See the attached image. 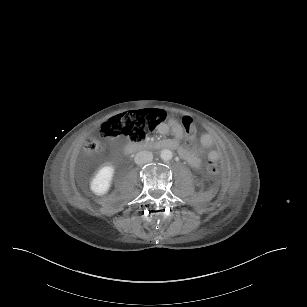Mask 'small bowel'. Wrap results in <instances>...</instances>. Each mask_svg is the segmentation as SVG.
<instances>
[{"mask_svg":"<svg viewBox=\"0 0 307 307\" xmlns=\"http://www.w3.org/2000/svg\"><path fill=\"white\" fill-rule=\"evenodd\" d=\"M160 132L167 133L172 132L173 138L170 139L174 143V149H178L179 155L189 162L194 167H199L201 165L200 154L203 149H208L209 159H219L220 153L218 150L213 148L215 140L210 134H203L200 138L199 143H194L193 147H180V141L184 137V132L182 127L178 123H172L171 125H162L159 128Z\"/></svg>","mask_w":307,"mask_h":307,"instance_id":"c3829d8e","label":"small bowel"}]
</instances>
